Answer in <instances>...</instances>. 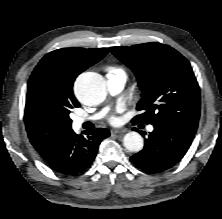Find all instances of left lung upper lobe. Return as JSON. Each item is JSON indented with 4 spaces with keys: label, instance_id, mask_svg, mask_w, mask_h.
Here are the masks:
<instances>
[{
    "label": "left lung upper lobe",
    "instance_id": "1",
    "mask_svg": "<svg viewBox=\"0 0 222 219\" xmlns=\"http://www.w3.org/2000/svg\"><path fill=\"white\" fill-rule=\"evenodd\" d=\"M110 50L135 73L142 90L137 109L144 112L135 116L133 123H168L196 133L200 89L185 57L169 45L157 42Z\"/></svg>",
    "mask_w": 222,
    "mask_h": 219
}]
</instances>
